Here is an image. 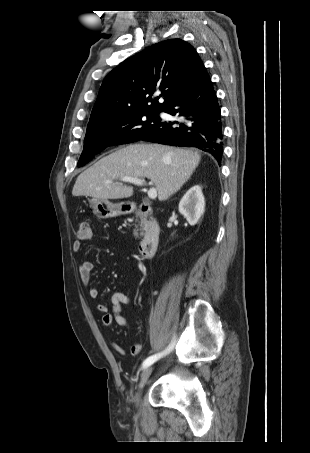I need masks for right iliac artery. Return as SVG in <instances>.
<instances>
[{"instance_id": "obj_1", "label": "right iliac artery", "mask_w": 310, "mask_h": 453, "mask_svg": "<svg viewBox=\"0 0 310 453\" xmlns=\"http://www.w3.org/2000/svg\"><path fill=\"white\" fill-rule=\"evenodd\" d=\"M171 349V347H169L165 352L163 353H158V354H154V355H151L149 356L148 358H146L142 364V368H146L148 366H150L151 364H153L155 361H157L161 356H163L164 354H166L167 352H169Z\"/></svg>"}]
</instances>
